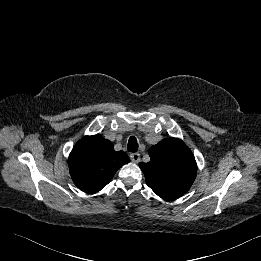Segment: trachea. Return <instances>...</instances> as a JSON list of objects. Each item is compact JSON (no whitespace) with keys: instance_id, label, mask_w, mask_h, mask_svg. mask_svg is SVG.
<instances>
[{"instance_id":"obj_1","label":"trachea","mask_w":261,"mask_h":261,"mask_svg":"<svg viewBox=\"0 0 261 261\" xmlns=\"http://www.w3.org/2000/svg\"><path fill=\"white\" fill-rule=\"evenodd\" d=\"M127 149L130 152H137L138 151L137 139L134 136H131L129 138Z\"/></svg>"}]
</instances>
